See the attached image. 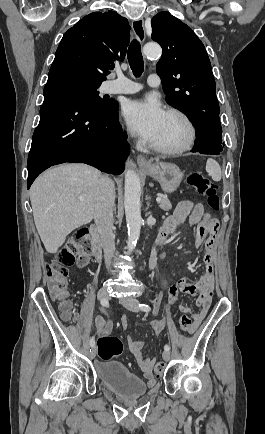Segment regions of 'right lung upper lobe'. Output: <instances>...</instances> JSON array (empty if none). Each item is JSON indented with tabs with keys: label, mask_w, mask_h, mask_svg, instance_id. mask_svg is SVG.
I'll return each mask as SVG.
<instances>
[{
	"label": "right lung upper lobe",
	"mask_w": 265,
	"mask_h": 434,
	"mask_svg": "<svg viewBox=\"0 0 265 434\" xmlns=\"http://www.w3.org/2000/svg\"><path fill=\"white\" fill-rule=\"evenodd\" d=\"M130 29L127 19L112 10L83 17L64 34L48 76L71 74L106 80L114 61L125 57Z\"/></svg>",
	"instance_id": "right-lung-upper-lobe-1"
}]
</instances>
